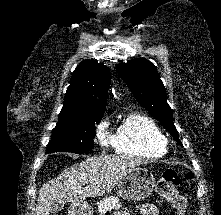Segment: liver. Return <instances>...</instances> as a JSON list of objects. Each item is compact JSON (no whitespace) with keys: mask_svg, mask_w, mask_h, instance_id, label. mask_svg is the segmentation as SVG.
I'll return each instance as SVG.
<instances>
[{"mask_svg":"<svg viewBox=\"0 0 221 215\" xmlns=\"http://www.w3.org/2000/svg\"><path fill=\"white\" fill-rule=\"evenodd\" d=\"M146 163L136 157L100 155L72 165L39 190L36 215H49L57 201L79 203L87 197L103 196L134 168Z\"/></svg>","mask_w":221,"mask_h":215,"instance_id":"obj_1","label":"liver"}]
</instances>
